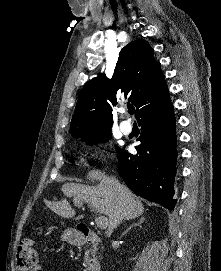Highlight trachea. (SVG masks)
<instances>
[{"instance_id":"1","label":"trachea","mask_w":221,"mask_h":271,"mask_svg":"<svg viewBox=\"0 0 221 271\" xmlns=\"http://www.w3.org/2000/svg\"><path fill=\"white\" fill-rule=\"evenodd\" d=\"M128 113H130V115H134L135 108L133 106H128Z\"/></svg>"}]
</instances>
